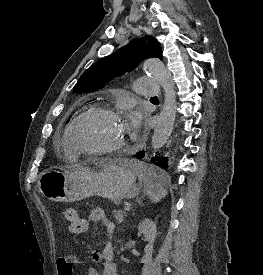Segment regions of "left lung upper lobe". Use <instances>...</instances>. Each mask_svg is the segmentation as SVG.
Listing matches in <instances>:
<instances>
[{
	"instance_id": "left-lung-upper-lobe-1",
	"label": "left lung upper lobe",
	"mask_w": 263,
	"mask_h": 275,
	"mask_svg": "<svg viewBox=\"0 0 263 275\" xmlns=\"http://www.w3.org/2000/svg\"><path fill=\"white\" fill-rule=\"evenodd\" d=\"M146 40L147 42L144 38L135 39L113 54L94 63L82 74L73 91L89 93L102 89L115 77L133 70L141 61L152 57L162 59L160 43L151 36H148Z\"/></svg>"
}]
</instances>
